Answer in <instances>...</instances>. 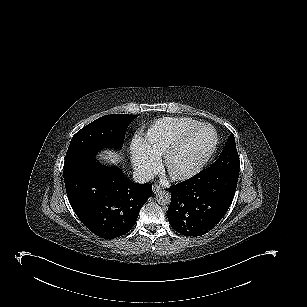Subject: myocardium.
Segmentation results:
<instances>
[{"mask_svg": "<svg viewBox=\"0 0 307 307\" xmlns=\"http://www.w3.org/2000/svg\"><path fill=\"white\" fill-rule=\"evenodd\" d=\"M203 128H208L212 131L214 130L212 127H206L204 124H199V125L192 127L191 130H188L185 134H183L181 136V138H179V141L177 140V142L172 147L173 149L166 155L165 162L166 161L169 162V160L171 161V159H173L175 154H177V151L180 149L179 147H182L184 144L189 143L193 139L194 134H196V132L200 131ZM206 161L207 160H203L200 157V160L197 162L195 167L192 168V170H188V171H185V172H170V174H171V176H173V178L178 179V180L187 179L189 177H192L196 173H198L200 171V169L203 167V165L205 164ZM167 166L169 167V165H167Z\"/></svg>", "mask_w": 307, "mask_h": 307, "instance_id": "f54148a6", "label": "myocardium"}]
</instances>
